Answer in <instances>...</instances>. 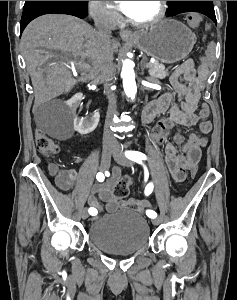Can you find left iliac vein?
I'll return each instance as SVG.
<instances>
[{
  "label": "left iliac vein",
  "instance_id": "obj_1",
  "mask_svg": "<svg viewBox=\"0 0 237 300\" xmlns=\"http://www.w3.org/2000/svg\"><path fill=\"white\" fill-rule=\"evenodd\" d=\"M113 158L117 163H119L122 166H125V167H131L132 166V162L128 158H126L123 154H121L118 151V149L113 150ZM159 222H160V220H159L158 217L153 219V224L154 225H158Z\"/></svg>",
  "mask_w": 237,
  "mask_h": 300
}]
</instances>
